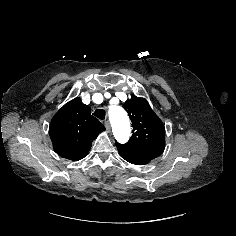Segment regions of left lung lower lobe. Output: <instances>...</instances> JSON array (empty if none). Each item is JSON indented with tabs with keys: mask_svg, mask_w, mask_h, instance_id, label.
<instances>
[{
	"mask_svg": "<svg viewBox=\"0 0 236 236\" xmlns=\"http://www.w3.org/2000/svg\"><path fill=\"white\" fill-rule=\"evenodd\" d=\"M120 156L129 163L145 165L160 156L163 150L158 149H137L124 145H116Z\"/></svg>",
	"mask_w": 236,
	"mask_h": 236,
	"instance_id": "0a47b994",
	"label": "left lung lower lobe"
}]
</instances>
